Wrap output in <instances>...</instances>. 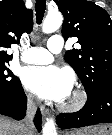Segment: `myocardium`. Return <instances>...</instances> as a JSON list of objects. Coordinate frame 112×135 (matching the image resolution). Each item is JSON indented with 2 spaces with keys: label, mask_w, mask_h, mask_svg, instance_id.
<instances>
[{
  "label": "myocardium",
  "mask_w": 112,
  "mask_h": 135,
  "mask_svg": "<svg viewBox=\"0 0 112 135\" xmlns=\"http://www.w3.org/2000/svg\"><path fill=\"white\" fill-rule=\"evenodd\" d=\"M87 101V93L84 90L77 88L73 91L71 98L60 105V108L66 112H77L86 105Z\"/></svg>",
  "instance_id": "obj_1"
}]
</instances>
